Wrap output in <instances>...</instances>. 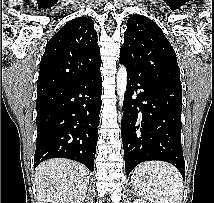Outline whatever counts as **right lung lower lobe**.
Masks as SVG:
<instances>
[{
    "instance_id": "right-lung-lower-lobe-1",
    "label": "right lung lower lobe",
    "mask_w": 214,
    "mask_h": 203,
    "mask_svg": "<svg viewBox=\"0 0 214 203\" xmlns=\"http://www.w3.org/2000/svg\"><path fill=\"white\" fill-rule=\"evenodd\" d=\"M101 73L37 95V145L34 168L44 160L68 158L90 171L98 140Z\"/></svg>"
}]
</instances>
